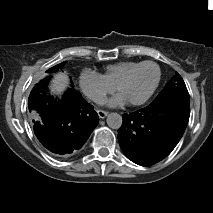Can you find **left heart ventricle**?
Masks as SVG:
<instances>
[{"label":"left heart ventricle","instance_id":"left-heart-ventricle-1","mask_svg":"<svg viewBox=\"0 0 213 213\" xmlns=\"http://www.w3.org/2000/svg\"><path fill=\"white\" fill-rule=\"evenodd\" d=\"M156 69L153 66H143L125 82L119 90L125 99L137 101L145 97L152 89L156 80Z\"/></svg>","mask_w":213,"mask_h":213}]
</instances>
